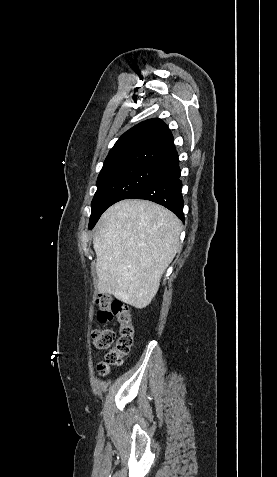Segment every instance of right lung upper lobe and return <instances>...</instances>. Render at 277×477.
Segmentation results:
<instances>
[{"mask_svg":"<svg viewBox=\"0 0 277 477\" xmlns=\"http://www.w3.org/2000/svg\"><path fill=\"white\" fill-rule=\"evenodd\" d=\"M176 156L168 126L161 119H149L132 127L119 138L100 173L136 164L160 168Z\"/></svg>","mask_w":277,"mask_h":477,"instance_id":"obj_1","label":"right lung upper lobe"}]
</instances>
